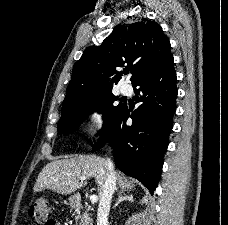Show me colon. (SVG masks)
Masks as SVG:
<instances>
[{
    "instance_id": "obj_1",
    "label": "colon",
    "mask_w": 228,
    "mask_h": 225,
    "mask_svg": "<svg viewBox=\"0 0 228 225\" xmlns=\"http://www.w3.org/2000/svg\"><path fill=\"white\" fill-rule=\"evenodd\" d=\"M29 214L40 225H57V223L50 218V203L46 199L38 198L29 202Z\"/></svg>"
}]
</instances>
